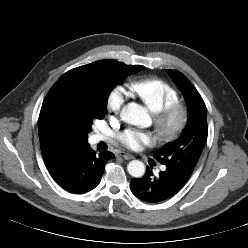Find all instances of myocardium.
<instances>
[{
  "label": "myocardium",
  "instance_id": "f54148a6",
  "mask_svg": "<svg viewBox=\"0 0 248 248\" xmlns=\"http://www.w3.org/2000/svg\"><path fill=\"white\" fill-rule=\"evenodd\" d=\"M188 118V108L179 101L154 113V124L159 138L165 142L177 139L185 130Z\"/></svg>",
  "mask_w": 248,
  "mask_h": 248
}]
</instances>
